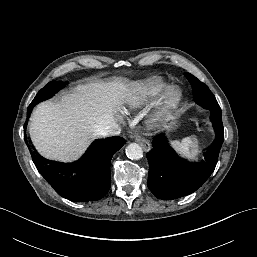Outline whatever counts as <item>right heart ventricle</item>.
I'll use <instances>...</instances> for the list:
<instances>
[{
    "instance_id": "right-heart-ventricle-1",
    "label": "right heart ventricle",
    "mask_w": 257,
    "mask_h": 257,
    "mask_svg": "<svg viewBox=\"0 0 257 257\" xmlns=\"http://www.w3.org/2000/svg\"><path fill=\"white\" fill-rule=\"evenodd\" d=\"M166 87V84L157 79L150 78L138 88H136L128 97L127 105L131 109H136L157 97Z\"/></svg>"
}]
</instances>
